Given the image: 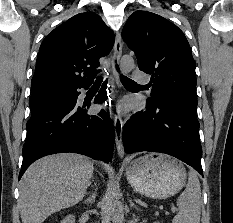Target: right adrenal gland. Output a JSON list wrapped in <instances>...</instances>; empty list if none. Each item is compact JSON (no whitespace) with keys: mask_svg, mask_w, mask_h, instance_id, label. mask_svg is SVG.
Instances as JSON below:
<instances>
[{"mask_svg":"<svg viewBox=\"0 0 233 223\" xmlns=\"http://www.w3.org/2000/svg\"><path fill=\"white\" fill-rule=\"evenodd\" d=\"M96 195H97V189H94L93 193H91V195H89V197H87V199H85L86 205H91V203H93V201H95Z\"/></svg>","mask_w":233,"mask_h":223,"instance_id":"2a0ac1e0","label":"right adrenal gland"}]
</instances>
